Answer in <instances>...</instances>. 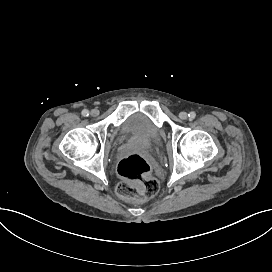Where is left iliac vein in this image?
<instances>
[{
	"label": "left iliac vein",
	"mask_w": 272,
	"mask_h": 272,
	"mask_svg": "<svg viewBox=\"0 0 272 272\" xmlns=\"http://www.w3.org/2000/svg\"><path fill=\"white\" fill-rule=\"evenodd\" d=\"M179 117L182 119V120H185L188 118V114L184 111L180 112L179 114Z\"/></svg>",
	"instance_id": "left-iliac-vein-1"
}]
</instances>
